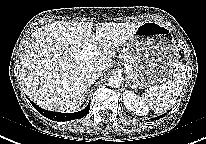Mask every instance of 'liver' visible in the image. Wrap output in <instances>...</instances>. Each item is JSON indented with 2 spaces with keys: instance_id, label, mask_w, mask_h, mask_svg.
Listing matches in <instances>:
<instances>
[{
  "instance_id": "6515ba94",
  "label": "liver",
  "mask_w": 206,
  "mask_h": 144,
  "mask_svg": "<svg viewBox=\"0 0 206 144\" xmlns=\"http://www.w3.org/2000/svg\"><path fill=\"white\" fill-rule=\"evenodd\" d=\"M138 23L54 22L32 34L20 61V80L27 96L47 110L68 113L83 104L87 92L86 75L92 67L107 72L115 50L123 46L141 25ZM99 43L102 52L81 60L75 53Z\"/></svg>"
}]
</instances>
